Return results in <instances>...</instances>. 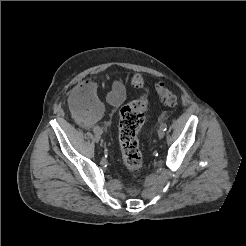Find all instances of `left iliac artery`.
<instances>
[{"instance_id":"44dca946","label":"left iliac artery","mask_w":246,"mask_h":246,"mask_svg":"<svg viewBox=\"0 0 246 246\" xmlns=\"http://www.w3.org/2000/svg\"><path fill=\"white\" fill-rule=\"evenodd\" d=\"M160 128L165 131L167 129V124L166 123H162Z\"/></svg>"}]
</instances>
